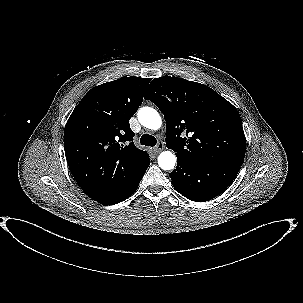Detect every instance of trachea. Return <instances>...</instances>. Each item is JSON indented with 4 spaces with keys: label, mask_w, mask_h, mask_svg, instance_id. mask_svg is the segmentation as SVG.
<instances>
[{
    "label": "trachea",
    "mask_w": 303,
    "mask_h": 303,
    "mask_svg": "<svg viewBox=\"0 0 303 303\" xmlns=\"http://www.w3.org/2000/svg\"><path fill=\"white\" fill-rule=\"evenodd\" d=\"M140 143L141 145H145V146H155L157 143V140L154 136L149 135V134H144L142 135V137L140 138Z\"/></svg>",
    "instance_id": "1"
}]
</instances>
